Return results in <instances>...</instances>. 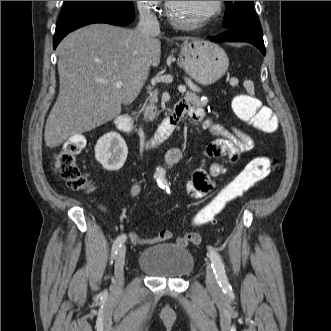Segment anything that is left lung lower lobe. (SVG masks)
<instances>
[{"instance_id":"obj_1","label":"left lung lower lobe","mask_w":331,"mask_h":331,"mask_svg":"<svg viewBox=\"0 0 331 331\" xmlns=\"http://www.w3.org/2000/svg\"><path fill=\"white\" fill-rule=\"evenodd\" d=\"M220 42H248L257 47L265 55L263 32L259 23L227 29L219 36L210 38Z\"/></svg>"}]
</instances>
